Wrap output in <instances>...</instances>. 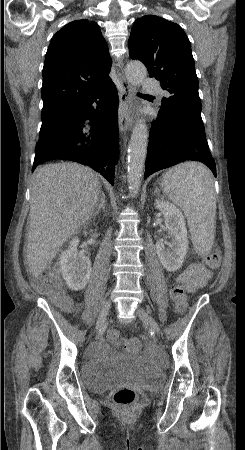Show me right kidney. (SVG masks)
Wrapping results in <instances>:
<instances>
[{"label":"right kidney","instance_id":"ca27d5eb","mask_svg":"<svg viewBox=\"0 0 245 450\" xmlns=\"http://www.w3.org/2000/svg\"><path fill=\"white\" fill-rule=\"evenodd\" d=\"M79 239L73 238L69 242L67 250L61 252L60 269L66 285L74 291L82 290L89 281L91 273V261L89 257L81 255L77 246Z\"/></svg>","mask_w":245,"mask_h":450}]
</instances>
